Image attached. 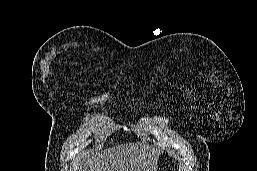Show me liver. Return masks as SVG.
<instances>
[{
	"label": "liver",
	"mask_w": 257,
	"mask_h": 171,
	"mask_svg": "<svg viewBox=\"0 0 257 171\" xmlns=\"http://www.w3.org/2000/svg\"><path fill=\"white\" fill-rule=\"evenodd\" d=\"M158 154L140 143L122 144L79 160L77 171H156Z\"/></svg>",
	"instance_id": "1"
}]
</instances>
